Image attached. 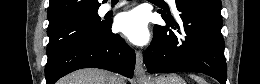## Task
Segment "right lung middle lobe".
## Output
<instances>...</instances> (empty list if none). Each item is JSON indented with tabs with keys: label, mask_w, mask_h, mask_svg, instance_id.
<instances>
[{
	"label": "right lung middle lobe",
	"mask_w": 260,
	"mask_h": 84,
	"mask_svg": "<svg viewBox=\"0 0 260 84\" xmlns=\"http://www.w3.org/2000/svg\"><path fill=\"white\" fill-rule=\"evenodd\" d=\"M107 27L108 24L101 21L97 12H94L76 17L56 27L48 28V60L52 59L65 46L75 40L94 38L103 35L106 32Z\"/></svg>",
	"instance_id": "right-lung-middle-lobe-1"
}]
</instances>
